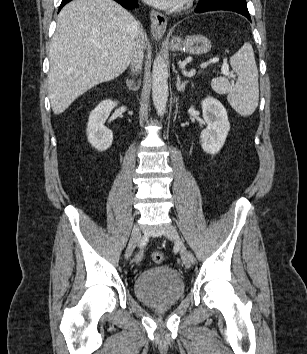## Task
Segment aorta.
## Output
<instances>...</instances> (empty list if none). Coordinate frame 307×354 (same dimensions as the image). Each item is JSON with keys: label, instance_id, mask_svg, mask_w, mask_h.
Returning a JSON list of instances; mask_svg holds the SVG:
<instances>
[{"label": "aorta", "instance_id": "obj_1", "mask_svg": "<svg viewBox=\"0 0 307 354\" xmlns=\"http://www.w3.org/2000/svg\"><path fill=\"white\" fill-rule=\"evenodd\" d=\"M152 98L159 116H163L168 100V68L163 55H157L152 70Z\"/></svg>", "mask_w": 307, "mask_h": 354}]
</instances>
